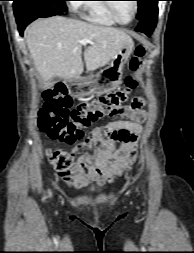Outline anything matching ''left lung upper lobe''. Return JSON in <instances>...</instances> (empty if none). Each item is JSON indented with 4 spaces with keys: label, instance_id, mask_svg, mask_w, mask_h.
Returning <instances> with one entry per match:
<instances>
[{
    "label": "left lung upper lobe",
    "instance_id": "left-lung-upper-lobe-1",
    "mask_svg": "<svg viewBox=\"0 0 194 253\" xmlns=\"http://www.w3.org/2000/svg\"><path fill=\"white\" fill-rule=\"evenodd\" d=\"M138 1V14L137 19L141 20L144 15L153 8L159 0H136Z\"/></svg>",
    "mask_w": 194,
    "mask_h": 253
}]
</instances>
